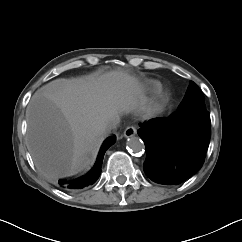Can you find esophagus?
Segmentation results:
<instances>
[{
  "label": "esophagus",
  "instance_id": "1",
  "mask_svg": "<svg viewBox=\"0 0 242 242\" xmlns=\"http://www.w3.org/2000/svg\"><path fill=\"white\" fill-rule=\"evenodd\" d=\"M137 130L134 126H128L124 131V137L129 138L136 134Z\"/></svg>",
  "mask_w": 242,
  "mask_h": 242
}]
</instances>
